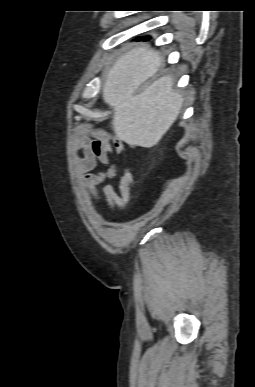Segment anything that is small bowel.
<instances>
[{
	"label": "small bowel",
	"instance_id": "c3829d8e",
	"mask_svg": "<svg viewBox=\"0 0 255 387\" xmlns=\"http://www.w3.org/2000/svg\"><path fill=\"white\" fill-rule=\"evenodd\" d=\"M76 151L81 152L77 161V173L81 176L84 185L93 200L99 201L97 186L116 176L117 169L109 159V154L120 155L126 152V145L120 140H111L105 134L90 137L84 128H79L75 134ZM99 163L106 166L104 171L96 172ZM134 173L125 169L119 181L118 191L110 184L103 188L108 205L125 209L131 201L130 186L134 182Z\"/></svg>",
	"mask_w": 255,
	"mask_h": 387
}]
</instances>
